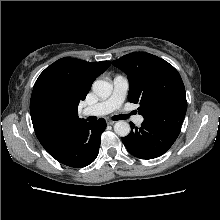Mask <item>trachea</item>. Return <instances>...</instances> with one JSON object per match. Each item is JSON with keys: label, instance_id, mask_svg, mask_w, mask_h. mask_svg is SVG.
<instances>
[{"label": "trachea", "instance_id": "trachea-1", "mask_svg": "<svg viewBox=\"0 0 220 220\" xmlns=\"http://www.w3.org/2000/svg\"><path fill=\"white\" fill-rule=\"evenodd\" d=\"M90 118V117H89ZM128 118V115H116V116H113L112 117V119L114 120V121H118V120H125V119H127Z\"/></svg>", "mask_w": 220, "mask_h": 220}]
</instances>
